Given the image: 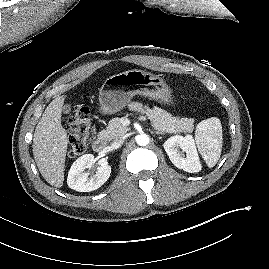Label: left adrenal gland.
Returning <instances> with one entry per match:
<instances>
[{"instance_id": "obj_1", "label": "left adrenal gland", "mask_w": 269, "mask_h": 269, "mask_svg": "<svg viewBox=\"0 0 269 269\" xmlns=\"http://www.w3.org/2000/svg\"><path fill=\"white\" fill-rule=\"evenodd\" d=\"M152 133H155V134H164L163 132H159V131H155V132H152Z\"/></svg>"}]
</instances>
